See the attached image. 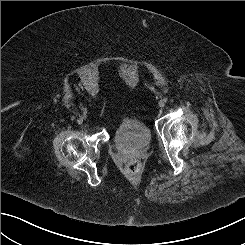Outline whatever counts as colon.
I'll return each instance as SVG.
<instances>
[{"label":"colon","instance_id":"1","mask_svg":"<svg viewBox=\"0 0 245 245\" xmlns=\"http://www.w3.org/2000/svg\"><path fill=\"white\" fill-rule=\"evenodd\" d=\"M140 169L141 164L137 160H130L125 166L126 172L131 175L138 173Z\"/></svg>","mask_w":245,"mask_h":245}]
</instances>
